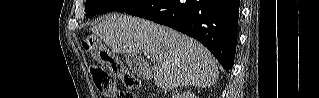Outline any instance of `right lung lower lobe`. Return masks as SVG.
I'll return each instance as SVG.
<instances>
[{"mask_svg":"<svg viewBox=\"0 0 319 98\" xmlns=\"http://www.w3.org/2000/svg\"><path fill=\"white\" fill-rule=\"evenodd\" d=\"M239 4V0H148L126 13L197 39L229 72L236 51Z\"/></svg>","mask_w":319,"mask_h":98,"instance_id":"right-lung-lower-lobe-1","label":"right lung lower lobe"}]
</instances>
